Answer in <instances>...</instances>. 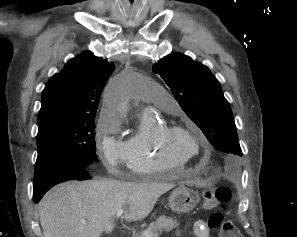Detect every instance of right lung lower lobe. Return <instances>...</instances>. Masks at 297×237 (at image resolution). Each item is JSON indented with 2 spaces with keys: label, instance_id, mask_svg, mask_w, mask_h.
I'll return each instance as SVG.
<instances>
[{
  "label": "right lung lower lobe",
  "instance_id": "1",
  "mask_svg": "<svg viewBox=\"0 0 297 237\" xmlns=\"http://www.w3.org/2000/svg\"><path fill=\"white\" fill-rule=\"evenodd\" d=\"M92 177L87 173L86 169L80 166H69L67 168H60L54 172L50 182L43 188H33V199L34 201L40 200L44 194L54 185L69 181V180H86Z\"/></svg>",
  "mask_w": 297,
  "mask_h": 237
}]
</instances>
